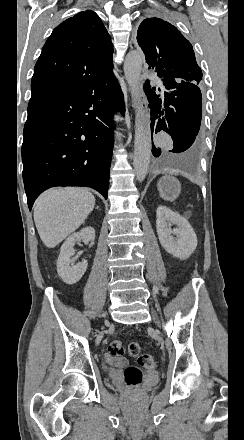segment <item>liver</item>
Instances as JSON below:
<instances>
[{
	"label": "liver",
	"instance_id": "liver-1",
	"mask_svg": "<svg viewBox=\"0 0 244 440\" xmlns=\"http://www.w3.org/2000/svg\"><path fill=\"white\" fill-rule=\"evenodd\" d=\"M95 198L84 188H52L35 202L34 222L46 248H55L84 224Z\"/></svg>",
	"mask_w": 244,
	"mask_h": 440
}]
</instances>
